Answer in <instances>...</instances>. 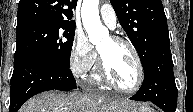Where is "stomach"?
<instances>
[{
  "mask_svg": "<svg viewBox=\"0 0 193 112\" xmlns=\"http://www.w3.org/2000/svg\"><path fill=\"white\" fill-rule=\"evenodd\" d=\"M119 112H154V110L148 107L146 104L136 103L123 110H120Z\"/></svg>",
  "mask_w": 193,
  "mask_h": 112,
  "instance_id": "obj_1",
  "label": "stomach"
}]
</instances>
